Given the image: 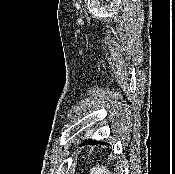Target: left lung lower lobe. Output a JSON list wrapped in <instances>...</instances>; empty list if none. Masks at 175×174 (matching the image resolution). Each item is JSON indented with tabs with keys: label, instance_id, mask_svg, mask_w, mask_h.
Segmentation results:
<instances>
[{
	"label": "left lung lower lobe",
	"instance_id": "left-lung-lower-lobe-1",
	"mask_svg": "<svg viewBox=\"0 0 175 174\" xmlns=\"http://www.w3.org/2000/svg\"><path fill=\"white\" fill-rule=\"evenodd\" d=\"M90 143L95 144V143H96V141H94V142H93V141H90Z\"/></svg>",
	"mask_w": 175,
	"mask_h": 174
}]
</instances>
